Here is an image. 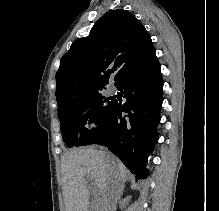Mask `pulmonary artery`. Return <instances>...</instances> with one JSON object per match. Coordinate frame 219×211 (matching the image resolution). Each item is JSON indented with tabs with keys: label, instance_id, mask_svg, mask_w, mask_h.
<instances>
[{
	"label": "pulmonary artery",
	"instance_id": "e3ab8cb5",
	"mask_svg": "<svg viewBox=\"0 0 219 211\" xmlns=\"http://www.w3.org/2000/svg\"><path fill=\"white\" fill-rule=\"evenodd\" d=\"M116 92H117V90H116L115 87H110V88L108 89V94H109V95H114V94H116Z\"/></svg>",
	"mask_w": 219,
	"mask_h": 211
}]
</instances>
